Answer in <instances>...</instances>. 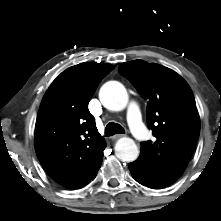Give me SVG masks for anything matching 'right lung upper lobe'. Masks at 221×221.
<instances>
[{"instance_id": "obj_1", "label": "right lung upper lobe", "mask_w": 221, "mask_h": 221, "mask_svg": "<svg viewBox=\"0 0 221 221\" xmlns=\"http://www.w3.org/2000/svg\"><path fill=\"white\" fill-rule=\"evenodd\" d=\"M109 64L81 63L62 72L45 93L35 125V150L47 174L67 188L93 180L106 147L88 103Z\"/></svg>"}]
</instances>
